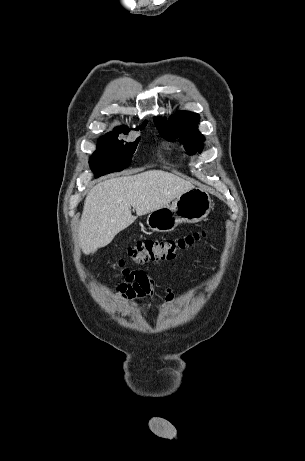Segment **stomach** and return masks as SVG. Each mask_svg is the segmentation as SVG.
Instances as JSON below:
<instances>
[{
  "label": "stomach",
  "instance_id": "1",
  "mask_svg": "<svg viewBox=\"0 0 305 461\" xmlns=\"http://www.w3.org/2000/svg\"><path fill=\"white\" fill-rule=\"evenodd\" d=\"M212 200L209 194L192 188L179 195L171 205L150 212L147 216L149 229L156 232H171L180 223H196L210 212Z\"/></svg>",
  "mask_w": 305,
  "mask_h": 461
}]
</instances>
